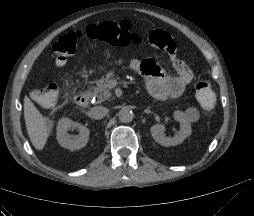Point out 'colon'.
Here are the masks:
<instances>
[{"instance_id":"5ec220e1","label":"colon","mask_w":254,"mask_h":216,"mask_svg":"<svg viewBox=\"0 0 254 216\" xmlns=\"http://www.w3.org/2000/svg\"><path fill=\"white\" fill-rule=\"evenodd\" d=\"M99 39L112 46H128L142 41L139 33L134 32L129 22H103L89 25L86 29L71 31L60 37L53 45L52 58L57 66H63L76 52L80 41L85 37ZM195 95L198 103L205 112H212L216 104V96L211 83L206 78L194 77ZM59 96L56 85H48L33 93L34 100L46 107H53Z\"/></svg>"}]
</instances>
